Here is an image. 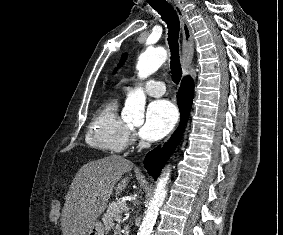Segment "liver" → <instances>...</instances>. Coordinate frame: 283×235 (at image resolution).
<instances>
[{
  "instance_id": "6515ba94",
  "label": "liver",
  "mask_w": 283,
  "mask_h": 235,
  "mask_svg": "<svg viewBox=\"0 0 283 235\" xmlns=\"http://www.w3.org/2000/svg\"><path fill=\"white\" fill-rule=\"evenodd\" d=\"M134 164L118 155H111L83 165L76 173L62 210L63 235H86L97 218L105 211L115 185L116 196L129 183L122 175ZM121 179V181H120Z\"/></svg>"
}]
</instances>
